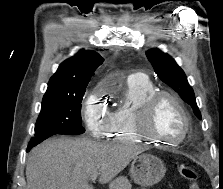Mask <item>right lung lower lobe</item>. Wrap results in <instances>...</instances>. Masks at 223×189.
I'll list each match as a JSON object with an SVG mask.
<instances>
[{
	"instance_id": "obj_1",
	"label": "right lung lower lobe",
	"mask_w": 223,
	"mask_h": 189,
	"mask_svg": "<svg viewBox=\"0 0 223 189\" xmlns=\"http://www.w3.org/2000/svg\"><path fill=\"white\" fill-rule=\"evenodd\" d=\"M52 135H46V136H41V137H34L30 140L28 147H27V152L34 146H36L37 144L41 143L43 140L47 139L48 137H50Z\"/></svg>"
}]
</instances>
